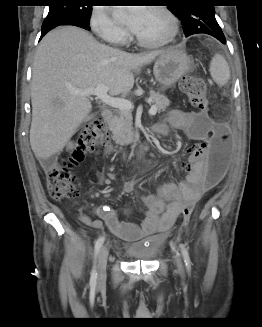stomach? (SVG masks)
I'll list each match as a JSON object with an SVG mask.
<instances>
[{
	"instance_id": "stomach-1",
	"label": "stomach",
	"mask_w": 262,
	"mask_h": 327,
	"mask_svg": "<svg viewBox=\"0 0 262 327\" xmlns=\"http://www.w3.org/2000/svg\"><path fill=\"white\" fill-rule=\"evenodd\" d=\"M191 58L180 49L167 51L156 60L153 73L161 89L171 88L175 83L190 71Z\"/></svg>"
}]
</instances>
